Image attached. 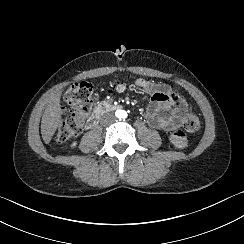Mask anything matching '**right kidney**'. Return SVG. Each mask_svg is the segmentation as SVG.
Returning a JSON list of instances; mask_svg holds the SVG:
<instances>
[{"instance_id": "obj_1", "label": "right kidney", "mask_w": 244, "mask_h": 244, "mask_svg": "<svg viewBox=\"0 0 244 244\" xmlns=\"http://www.w3.org/2000/svg\"><path fill=\"white\" fill-rule=\"evenodd\" d=\"M76 145H77V142H73V143L71 144V147L74 148Z\"/></svg>"}]
</instances>
